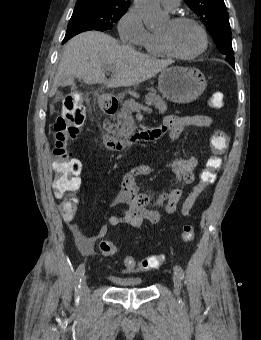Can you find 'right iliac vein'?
Returning <instances> with one entry per match:
<instances>
[{"label":"right iliac vein","instance_id":"63e3f726","mask_svg":"<svg viewBox=\"0 0 261 340\" xmlns=\"http://www.w3.org/2000/svg\"><path fill=\"white\" fill-rule=\"evenodd\" d=\"M90 294L89 287L87 285L86 279L83 278L81 283V296L84 300H87Z\"/></svg>","mask_w":261,"mask_h":340}]
</instances>
